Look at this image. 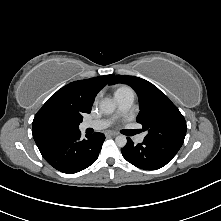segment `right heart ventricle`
Returning a JSON list of instances; mask_svg holds the SVG:
<instances>
[{
  "label": "right heart ventricle",
  "mask_w": 221,
  "mask_h": 221,
  "mask_svg": "<svg viewBox=\"0 0 221 221\" xmlns=\"http://www.w3.org/2000/svg\"><path fill=\"white\" fill-rule=\"evenodd\" d=\"M130 92H133L130 87L126 85H120L115 89L114 95L116 97V96L124 95Z\"/></svg>",
  "instance_id": "e07e8e85"
}]
</instances>
